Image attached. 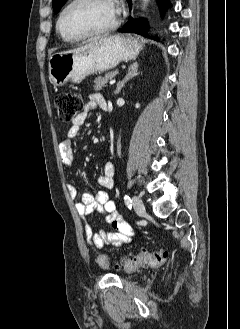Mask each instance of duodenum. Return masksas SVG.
I'll use <instances>...</instances> for the list:
<instances>
[{
	"label": "duodenum",
	"instance_id": "duodenum-1",
	"mask_svg": "<svg viewBox=\"0 0 240 329\" xmlns=\"http://www.w3.org/2000/svg\"><path fill=\"white\" fill-rule=\"evenodd\" d=\"M108 109V105H106L105 107H104V110H107Z\"/></svg>",
	"mask_w": 240,
	"mask_h": 329
}]
</instances>
